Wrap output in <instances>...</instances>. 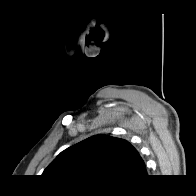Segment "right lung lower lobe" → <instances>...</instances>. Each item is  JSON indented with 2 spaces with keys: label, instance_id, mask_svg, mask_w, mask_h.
<instances>
[{
  "label": "right lung lower lobe",
  "instance_id": "right-lung-lower-lobe-1",
  "mask_svg": "<svg viewBox=\"0 0 196 196\" xmlns=\"http://www.w3.org/2000/svg\"><path fill=\"white\" fill-rule=\"evenodd\" d=\"M136 182H134V183H128V184H122V185H118V186H131V185H133V184H135Z\"/></svg>",
  "mask_w": 196,
  "mask_h": 196
}]
</instances>
